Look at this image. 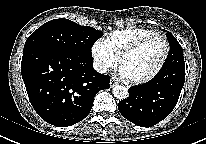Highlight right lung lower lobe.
I'll list each match as a JSON object with an SVG mask.
<instances>
[{
  "label": "right lung lower lobe",
  "instance_id": "right-lung-lower-lobe-1",
  "mask_svg": "<svg viewBox=\"0 0 206 144\" xmlns=\"http://www.w3.org/2000/svg\"><path fill=\"white\" fill-rule=\"evenodd\" d=\"M92 62L54 48L23 52L22 78L29 100L43 120L67 127L89 114L98 91L110 87L109 76L96 72Z\"/></svg>",
  "mask_w": 206,
  "mask_h": 144
}]
</instances>
